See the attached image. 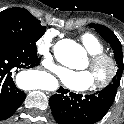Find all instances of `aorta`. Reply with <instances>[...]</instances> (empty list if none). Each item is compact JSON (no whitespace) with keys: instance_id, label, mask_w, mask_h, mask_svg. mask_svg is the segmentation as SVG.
Here are the masks:
<instances>
[{"instance_id":"1","label":"aorta","mask_w":124,"mask_h":124,"mask_svg":"<svg viewBox=\"0 0 124 124\" xmlns=\"http://www.w3.org/2000/svg\"><path fill=\"white\" fill-rule=\"evenodd\" d=\"M61 51L65 55L69 56L73 61H77L85 56L84 49L73 40H63L61 42ZM45 90L55 91L58 88V82L54 78H50L44 84Z\"/></svg>"}]
</instances>
